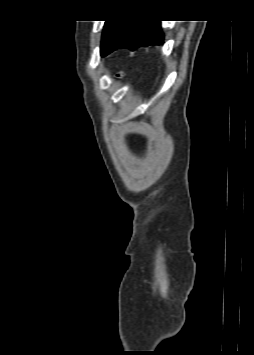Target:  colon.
Wrapping results in <instances>:
<instances>
[{
	"instance_id": "5ec220e1",
	"label": "colon",
	"mask_w": 254,
	"mask_h": 355,
	"mask_svg": "<svg viewBox=\"0 0 254 355\" xmlns=\"http://www.w3.org/2000/svg\"><path fill=\"white\" fill-rule=\"evenodd\" d=\"M123 76V72H119L118 74H117V77L119 78V77H122Z\"/></svg>"
}]
</instances>
